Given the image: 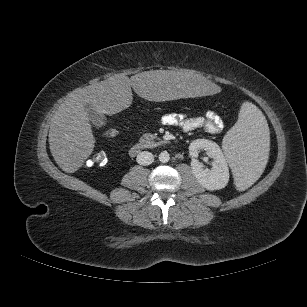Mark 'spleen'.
I'll list each match as a JSON object with an SVG mask.
<instances>
[{
  "label": "spleen",
  "instance_id": "obj_1",
  "mask_svg": "<svg viewBox=\"0 0 307 307\" xmlns=\"http://www.w3.org/2000/svg\"><path fill=\"white\" fill-rule=\"evenodd\" d=\"M268 136L265 116L254 104L244 102L237 122L223 139L238 189L246 188L260 177L267 161Z\"/></svg>",
  "mask_w": 307,
  "mask_h": 307
}]
</instances>
